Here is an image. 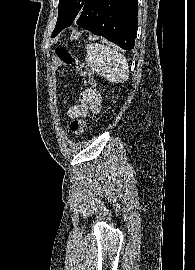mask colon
Returning a JSON list of instances; mask_svg holds the SVG:
<instances>
[{
	"label": "colon",
	"instance_id": "obj_1",
	"mask_svg": "<svg viewBox=\"0 0 195 270\" xmlns=\"http://www.w3.org/2000/svg\"><path fill=\"white\" fill-rule=\"evenodd\" d=\"M55 55L58 61L65 66H73L77 72L88 80L94 87L96 86V80L94 79L90 70L86 65L76 58L68 49L64 47H57L55 49ZM87 120L85 119H74L70 125L71 131L75 135H83L86 129Z\"/></svg>",
	"mask_w": 195,
	"mask_h": 270
}]
</instances>
